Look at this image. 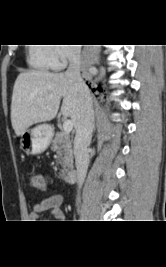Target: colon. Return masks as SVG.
Returning <instances> with one entry per match:
<instances>
[{"label": "colon", "instance_id": "colon-1", "mask_svg": "<svg viewBox=\"0 0 166 267\" xmlns=\"http://www.w3.org/2000/svg\"><path fill=\"white\" fill-rule=\"evenodd\" d=\"M24 178L25 180H30L29 183L33 188L44 189L47 187L43 177H39V175H35V173H28Z\"/></svg>", "mask_w": 166, "mask_h": 267}]
</instances>
